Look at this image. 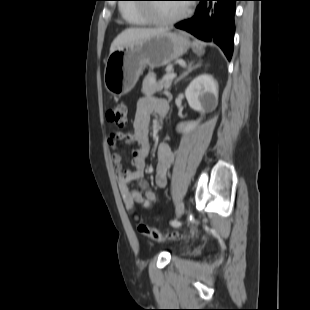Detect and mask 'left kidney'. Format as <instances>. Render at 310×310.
<instances>
[{"mask_svg": "<svg viewBox=\"0 0 310 310\" xmlns=\"http://www.w3.org/2000/svg\"><path fill=\"white\" fill-rule=\"evenodd\" d=\"M185 96L189 106L201 114L206 109L212 110L217 105L218 84L211 75L202 74L196 77L185 90ZM196 126V122L180 123L179 132H188Z\"/></svg>", "mask_w": 310, "mask_h": 310, "instance_id": "1", "label": "left kidney"}]
</instances>
